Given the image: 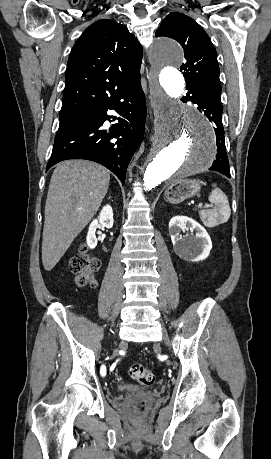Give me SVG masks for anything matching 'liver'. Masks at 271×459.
<instances>
[{"label":"liver","instance_id":"obj_1","mask_svg":"<svg viewBox=\"0 0 271 459\" xmlns=\"http://www.w3.org/2000/svg\"><path fill=\"white\" fill-rule=\"evenodd\" d=\"M106 168L88 160H65L55 168L45 204L42 261L50 271L99 210L109 188Z\"/></svg>","mask_w":271,"mask_h":459}]
</instances>
